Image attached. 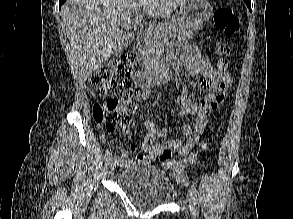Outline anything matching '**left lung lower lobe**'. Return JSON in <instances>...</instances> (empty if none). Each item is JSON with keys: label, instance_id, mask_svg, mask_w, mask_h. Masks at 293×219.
Masks as SVG:
<instances>
[{"label": "left lung lower lobe", "instance_id": "0a47b994", "mask_svg": "<svg viewBox=\"0 0 293 219\" xmlns=\"http://www.w3.org/2000/svg\"><path fill=\"white\" fill-rule=\"evenodd\" d=\"M244 2L246 3L247 7L251 11V0H244Z\"/></svg>", "mask_w": 293, "mask_h": 219}]
</instances>
